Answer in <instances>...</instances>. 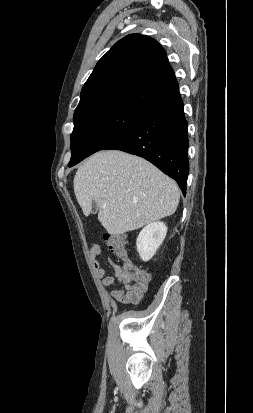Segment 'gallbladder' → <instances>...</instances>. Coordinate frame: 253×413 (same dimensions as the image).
<instances>
[{"mask_svg": "<svg viewBox=\"0 0 253 413\" xmlns=\"http://www.w3.org/2000/svg\"><path fill=\"white\" fill-rule=\"evenodd\" d=\"M97 210H98V206H97L96 202L93 201L92 208H91L92 214H95L97 212Z\"/></svg>", "mask_w": 253, "mask_h": 413, "instance_id": "1", "label": "gallbladder"}]
</instances>
